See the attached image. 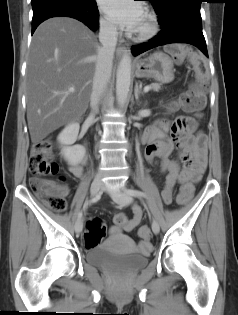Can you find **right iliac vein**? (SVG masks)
<instances>
[{"instance_id": "63e3f726", "label": "right iliac vein", "mask_w": 238, "mask_h": 315, "mask_svg": "<svg viewBox=\"0 0 238 315\" xmlns=\"http://www.w3.org/2000/svg\"><path fill=\"white\" fill-rule=\"evenodd\" d=\"M102 188V182L98 179H95L92 183H91V187H90V191L92 195H96L98 194V192L100 191V189ZM83 229V222L82 220H78L75 224V232L77 234H79Z\"/></svg>"}]
</instances>
